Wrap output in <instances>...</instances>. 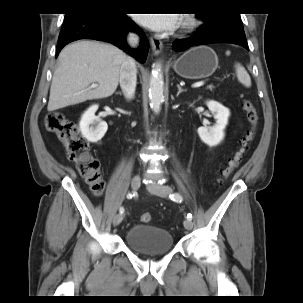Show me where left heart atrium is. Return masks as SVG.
Returning <instances> with one entry per match:
<instances>
[{"label":"left heart atrium","instance_id":"39dd6f15","mask_svg":"<svg viewBox=\"0 0 303 303\" xmlns=\"http://www.w3.org/2000/svg\"><path fill=\"white\" fill-rule=\"evenodd\" d=\"M178 14H136V21L156 31L170 30L178 24Z\"/></svg>","mask_w":303,"mask_h":303}]
</instances>
